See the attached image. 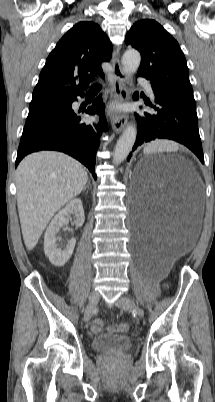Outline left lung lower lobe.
Here are the masks:
<instances>
[{"label":"left lung lower lobe","mask_w":215,"mask_h":402,"mask_svg":"<svg viewBox=\"0 0 215 402\" xmlns=\"http://www.w3.org/2000/svg\"><path fill=\"white\" fill-rule=\"evenodd\" d=\"M153 92L155 104L145 101L152 110L140 115L136 114L138 133L132 151L143 143L155 139H171L184 144L204 163L196 108L155 90ZM134 99H138L137 93L134 94ZM131 155L132 153H130L128 161Z\"/></svg>","instance_id":"1"}]
</instances>
